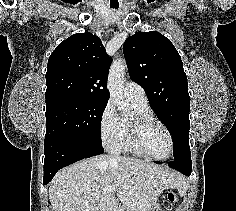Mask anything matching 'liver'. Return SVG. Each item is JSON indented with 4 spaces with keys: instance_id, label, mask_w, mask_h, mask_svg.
Segmentation results:
<instances>
[{
    "instance_id": "obj_1",
    "label": "liver",
    "mask_w": 236,
    "mask_h": 211,
    "mask_svg": "<svg viewBox=\"0 0 236 211\" xmlns=\"http://www.w3.org/2000/svg\"><path fill=\"white\" fill-rule=\"evenodd\" d=\"M184 184L169 168L135 158L100 155L82 160L58 171L48 190L53 211H149L160 193Z\"/></svg>"
}]
</instances>
